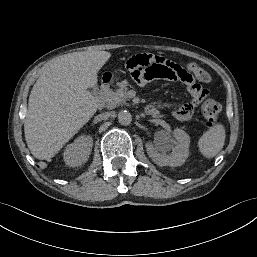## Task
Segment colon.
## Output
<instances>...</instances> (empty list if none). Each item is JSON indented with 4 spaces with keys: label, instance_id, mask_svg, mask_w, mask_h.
Masks as SVG:
<instances>
[{
    "label": "colon",
    "instance_id": "obj_1",
    "mask_svg": "<svg viewBox=\"0 0 257 257\" xmlns=\"http://www.w3.org/2000/svg\"><path fill=\"white\" fill-rule=\"evenodd\" d=\"M136 55H134V56H136ZM134 56H132V57H134ZM187 67L193 69L196 72V75H197L196 80L197 81L205 82V83L210 81L209 73L202 67L198 66L195 63H189V64H187ZM201 112L205 118L206 124L208 126H213L217 122V119L219 117L220 105L213 100L204 101L201 104Z\"/></svg>",
    "mask_w": 257,
    "mask_h": 257
}]
</instances>
